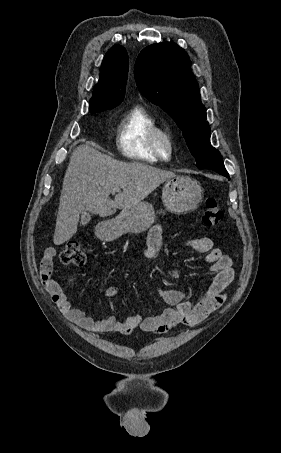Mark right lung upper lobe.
<instances>
[{"instance_id":"1","label":"right lung upper lobe","mask_w":281,"mask_h":453,"mask_svg":"<svg viewBox=\"0 0 281 453\" xmlns=\"http://www.w3.org/2000/svg\"><path fill=\"white\" fill-rule=\"evenodd\" d=\"M127 76V51L120 45H114L105 55L100 68V78L90 99L91 114L113 109L122 102Z\"/></svg>"}]
</instances>
